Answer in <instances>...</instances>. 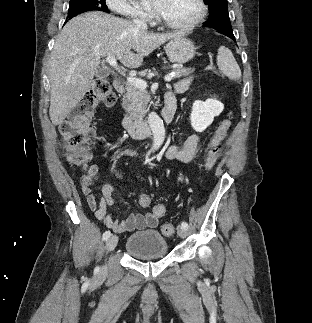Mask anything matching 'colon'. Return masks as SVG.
Returning <instances> with one entry per match:
<instances>
[{"label":"colon","instance_id":"colon-1","mask_svg":"<svg viewBox=\"0 0 312 323\" xmlns=\"http://www.w3.org/2000/svg\"><path fill=\"white\" fill-rule=\"evenodd\" d=\"M92 90L97 96L99 104L111 106L116 100V95L112 90L110 81L106 77L96 78L92 83ZM85 100L92 103L95 98L92 93H89ZM91 118L92 110L81 108V110L75 111L70 119L61 124V133L64 137L63 148L68 152L69 162L73 166L83 167L89 165L92 157L90 142L94 137V131L90 126ZM231 125L232 118L227 116L212 134L203 164L206 170H211L219 159L220 146L227 137ZM149 203L150 198L148 196L140 197L141 205L146 206ZM164 207V202H157L153 211L154 213H163ZM161 231L165 235H172L174 225L172 223H165L162 225Z\"/></svg>","mask_w":312,"mask_h":323}]
</instances>
